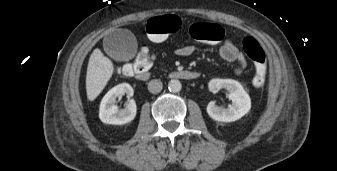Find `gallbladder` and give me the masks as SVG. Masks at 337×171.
<instances>
[{
    "instance_id": "gallbladder-1",
    "label": "gallbladder",
    "mask_w": 337,
    "mask_h": 171,
    "mask_svg": "<svg viewBox=\"0 0 337 171\" xmlns=\"http://www.w3.org/2000/svg\"><path fill=\"white\" fill-rule=\"evenodd\" d=\"M106 53L115 60L128 61L137 50L134 35L125 29H117L108 34L103 40Z\"/></svg>"
}]
</instances>
